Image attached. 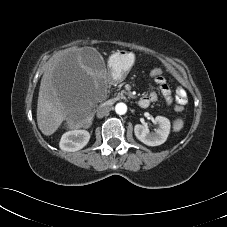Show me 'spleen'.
<instances>
[{
    "instance_id": "3e777b00",
    "label": "spleen",
    "mask_w": 227,
    "mask_h": 227,
    "mask_svg": "<svg viewBox=\"0 0 227 227\" xmlns=\"http://www.w3.org/2000/svg\"><path fill=\"white\" fill-rule=\"evenodd\" d=\"M183 127V121L182 120H176L174 122V130L179 131Z\"/></svg>"
}]
</instances>
